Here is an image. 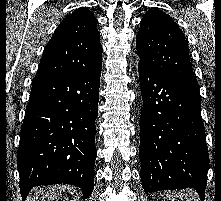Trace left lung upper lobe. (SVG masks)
Segmentation results:
<instances>
[{
  "label": "left lung upper lobe",
  "mask_w": 221,
  "mask_h": 201,
  "mask_svg": "<svg viewBox=\"0 0 221 201\" xmlns=\"http://www.w3.org/2000/svg\"><path fill=\"white\" fill-rule=\"evenodd\" d=\"M139 64L159 75L198 85L184 34L167 14L149 10L136 35Z\"/></svg>",
  "instance_id": "1"
}]
</instances>
